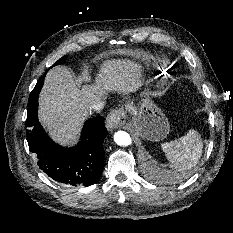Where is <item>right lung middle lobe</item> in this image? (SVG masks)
I'll list each match as a JSON object with an SVG mask.
<instances>
[{
	"label": "right lung middle lobe",
	"mask_w": 233,
	"mask_h": 233,
	"mask_svg": "<svg viewBox=\"0 0 233 233\" xmlns=\"http://www.w3.org/2000/svg\"><path fill=\"white\" fill-rule=\"evenodd\" d=\"M66 58H67V56H63V57L60 58L58 61H56L51 67L62 64L63 62H65ZM51 67H50V68H51ZM50 68H49V69H50ZM49 69H48V70H49ZM48 70H47V71H48ZM47 71H46V72H47ZM33 113H35V112H33Z\"/></svg>",
	"instance_id": "right-lung-middle-lobe-1"
}]
</instances>
